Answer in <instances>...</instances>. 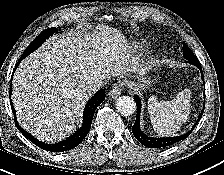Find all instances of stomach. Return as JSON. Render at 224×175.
Instances as JSON below:
<instances>
[{"label":"stomach","instance_id":"0dacf381","mask_svg":"<svg viewBox=\"0 0 224 175\" xmlns=\"http://www.w3.org/2000/svg\"><path fill=\"white\" fill-rule=\"evenodd\" d=\"M137 86L141 89L149 88L151 86V79L142 76Z\"/></svg>","mask_w":224,"mask_h":175}]
</instances>
